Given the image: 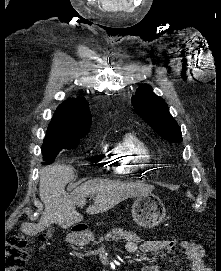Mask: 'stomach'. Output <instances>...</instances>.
Returning <instances> with one entry per match:
<instances>
[{"instance_id":"0dacf381","label":"stomach","mask_w":221,"mask_h":271,"mask_svg":"<svg viewBox=\"0 0 221 271\" xmlns=\"http://www.w3.org/2000/svg\"><path fill=\"white\" fill-rule=\"evenodd\" d=\"M162 207L160 199L155 195H152V197L140 195L132 205V217L137 225L150 229V227H156L163 221L166 208ZM87 235H89L90 239L94 237L89 230H82L81 233H74V238H87Z\"/></svg>"}]
</instances>
